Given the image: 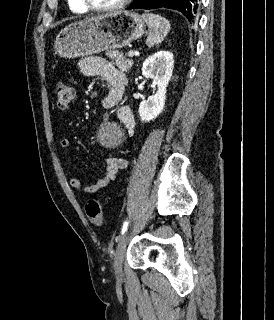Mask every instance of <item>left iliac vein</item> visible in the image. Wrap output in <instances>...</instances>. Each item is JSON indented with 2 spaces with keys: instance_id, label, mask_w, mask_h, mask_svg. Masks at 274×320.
Wrapping results in <instances>:
<instances>
[{
  "instance_id": "obj_1",
  "label": "left iliac vein",
  "mask_w": 274,
  "mask_h": 320,
  "mask_svg": "<svg viewBox=\"0 0 274 320\" xmlns=\"http://www.w3.org/2000/svg\"><path fill=\"white\" fill-rule=\"evenodd\" d=\"M128 237H129V231L127 230L120 238L115 256H114V269L116 274L121 277L122 275V265H123V260L126 252V247L128 243Z\"/></svg>"
}]
</instances>
